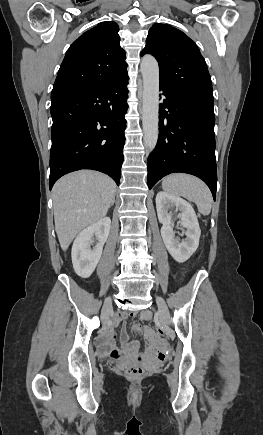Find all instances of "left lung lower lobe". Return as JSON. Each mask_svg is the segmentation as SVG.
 <instances>
[{
	"instance_id": "obj_1",
	"label": "left lung lower lobe",
	"mask_w": 263,
	"mask_h": 435,
	"mask_svg": "<svg viewBox=\"0 0 263 435\" xmlns=\"http://www.w3.org/2000/svg\"><path fill=\"white\" fill-rule=\"evenodd\" d=\"M158 142L147 161L148 187L176 172L202 179L216 198L213 100L160 84ZM161 96V95H160Z\"/></svg>"
}]
</instances>
